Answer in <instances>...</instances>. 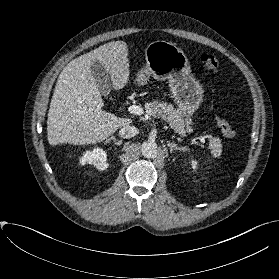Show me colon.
<instances>
[{"mask_svg": "<svg viewBox=\"0 0 279 279\" xmlns=\"http://www.w3.org/2000/svg\"><path fill=\"white\" fill-rule=\"evenodd\" d=\"M218 69V60L213 55L207 53L201 55L199 64V71L201 73H216ZM216 122L224 136L228 138H234L236 136L235 129L225 117L221 115L217 116Z\"/></svg>", "mask_w": 279, "mask_h": 279, "instance_id": "5ec220e1", "label": "colon"}]
</instances>
